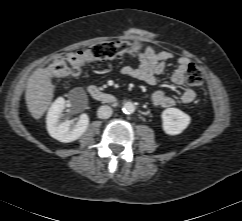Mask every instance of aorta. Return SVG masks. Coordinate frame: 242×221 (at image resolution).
Returning a JSON list of instances; mask_svg holds the SVG:
<instances>
[{"mask_svg":"<svg viewBox=\"0 0 242 221\" xmlns=\"http://www.w3.org/2000/svg\"><path fill=\"white\" fill-rule=\"evenodd\" d=\"M122 111L125 114H132L135 111V105L130 101L125 102L123 105Z\"/></svg>","mask_w":242,"mask_h":221,"instance_id":"aorta-1","label":"aorta"}]
</instances>
